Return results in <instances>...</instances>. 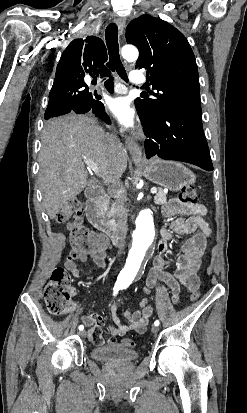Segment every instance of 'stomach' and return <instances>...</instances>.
I'll return each instance as SVG.
<instances>
[{"instance_id":"obj_1","label":"stomach","mask_w":247,"mask_h":413,"mask_svg":"<svg viewBox=\"0 0 247 413\" xmlns=\"http://www.w3.org/2000/svg\"><path fill=\"white\" fill-rule=\"evenodd\" d=\"M135 162H142L143 158H135ZM144 176L161 184L170 190H181L183 186H190L194 184L196 176L192 170L186 168L181 162L175 160H161V158H153L151 162H146L144 168Z\"/></svg>"}]
</instances>
